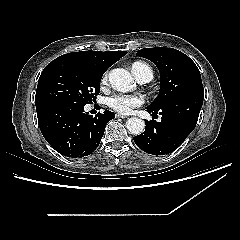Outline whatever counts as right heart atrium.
<instances>
[{"label":"right heart atrium","mask_w":240,"mask_h":240,"mask_svg":"<svg viewBox=\"0 0 240 240\" xmlns=\"http://www.w3.org/2000/svg\"><path fill=\"white\" fill-rule=\"evenodd\" d=\"M108 71L104 73L103 77H102V84H106L108 81Z\"/></svg>","instance_id":"right-heart-atrium-1"}]
</instances>
